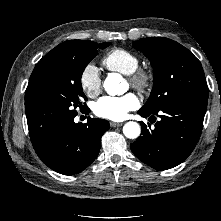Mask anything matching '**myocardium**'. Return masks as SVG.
I'll use <instances>...</instances> for the list:
<instances>
[{"label":"myocardium","mask_w":221,"mask_h":221,"mask_svg":"<svg viewBox=\"0 0 221 221\" xmlns=\"http://www.w3.org/2000/svg\"><path fill=\"white\" fill-rule=\"evenodd\" d=\"M128 81L139 92H148L153 85V74L147 69L137 68L128 75Z\"/></svg>","instance_id":"obj_1"}]
</instances>
